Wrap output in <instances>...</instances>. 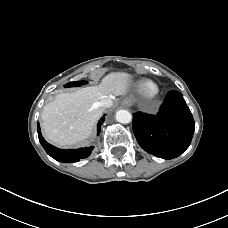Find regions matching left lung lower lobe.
<instances>
[{"mask_svg":"<svg viewBox=\"0 0 228 228\" xmlns=\"http://www.w3.org/2000/svg\"><path fill=\"white\" fill-rule=\"evenodd\" d=\"M132 128L139 145L146 152L173 159L189 147L195 122L182 94L170 91L156 115L134 113Z\"/></svg>","mask_w":228,"mask_h":228,"instance_id":"1","label":"left lung lower lobe"}]
</instances>
